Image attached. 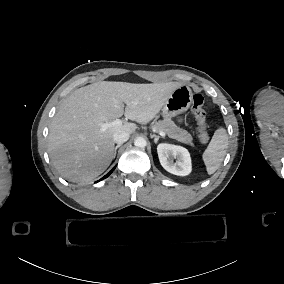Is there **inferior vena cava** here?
Instances as JSON below:
<instances>
[{"label": "inferior vena cava", "instance_id": "602c4592", "mask_svg": "<svg viewBox=\"0 0 284 284\" xmlns=\"http://www.w3.org/2000/svg\"><path fill=\"white\" fill-rule=\"evenodd\" d=\"M128 139H129V133H127L125 131H119V132L114 133V135H113L114 142H116L118 144H123Z\"/></svg>", "mask_w": 284, "mask_h": 284}]
</instances>
